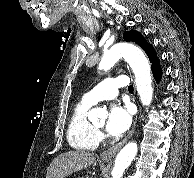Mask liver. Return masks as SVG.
<instances>
[{"label":"liver","instance_id":"liver-1","mask_svg":"<svg viewBox=\"0 0 194 178\" xmlns=\"http://www.w3.org/2000/svg\"><path fill=\"white\" fill-rule=\"evenodd\" d=\"M94 161V153L81 150L68 151L52 161L48 167L46 178H65L73 172L89 167Z\"/></svg>","mask_w":194,"mask_h":178}]
</instances>
